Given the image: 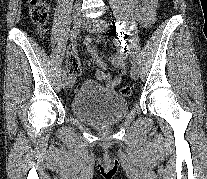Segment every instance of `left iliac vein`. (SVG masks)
<instances>
[{
  "label": "left iliac vein",
  "instance_id": "1",
  "mask_svg": "<svg viewBox=\"0 0 207 179\" xmlns=\"http://www.w3.org/2000/svg\"><path fill=\"white\" fill-rule=\"evenodd\" d=\"M82 27L89 32L96 33L105 30L107 25L106 21L102 19L90 20L84 18L82 21ZM130 74L133 80L138 79L139 72L136 64L131 66Z\"/></svg>",
  "mask_w": 207,
  "mask_h": 179
}]
</instances>
